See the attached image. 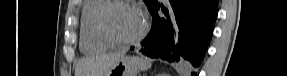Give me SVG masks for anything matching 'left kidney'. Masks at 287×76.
Masks as SVG:
<instances>
[{
	"label": "left kidney",
	"mask_w": 287,
	"mask_h": 76,
	"mask_svg": "<svg viewBox=\"0 0 287 76\" xmlns=\"http://www.w3.org/2000/svg\"><path fill=\"white\" fill-rule=\"evenodd\" d=\"M159 76H166V74H160Z\"/></svg>",
	"instance_id": "left-kidney-1"
}]
</instances>
